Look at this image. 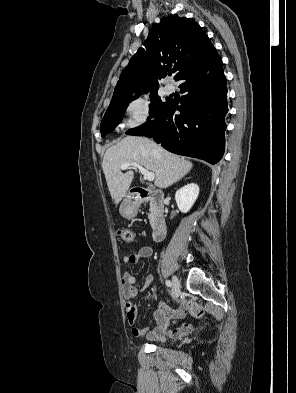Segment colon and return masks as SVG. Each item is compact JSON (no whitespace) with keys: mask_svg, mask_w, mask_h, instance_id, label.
<instances>
[{"mask_svg":"<svg viewBox=\"0 0 296 393\" xmlns=\"http://www.w3.org/2000/svg\"><path fill=\"white\" fill-rule=\"evenodd\" d=\"M116 234L125 244L129 245L132 244L134 241V234L129 229L118 228L116 230ZM188 307L193 315L200 316L202 314V309L198 304L194 302H189Z\"/></svg>","mask_w":296,"mask_h":393,"instance_id":"1","label":"colon"}]
</instances>
